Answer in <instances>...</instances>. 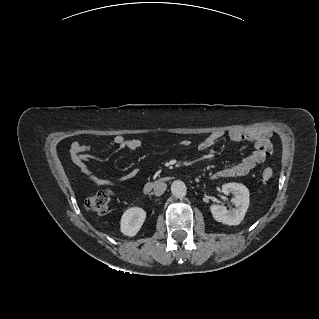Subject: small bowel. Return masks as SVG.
I'll return each instance as SVG.
<instances>
[{
	"label": "small bowel",
	"mask_w": 319,
	"mask_h": 319,
	"mask_svg": "<svg viewBox=\"0 0 319 319\" xmlns=\"http://www.w3.org/2000/svg\"><path fill=\"white\" fill-rule=\"evenodd\" d=\"M270 133L268 131L262 133H247L241 130H231L228 133L230 140L251 141L254 143V150L241 161L233 164L232 166L221 168L211 174V179H221L228 177H239L247 175L257 165L263 163L268 153L265 150V144L269 142ZM223 138L222 132H213L204 138L197 146L198 150L202 153L208 152L214 145ZM188 140H182V146H188ZM142 141L138 139H126L123 136H115L108 148L111 151L130 150L136 151L142 147ZM72 160L73 162L89 177V179L98 186H112L122 184L135 178L136 171L128 172L121 176H114L111 178L100 177L92 172L87 166V161L93 148L90 146L82 145L80 143L72 144Z\"/></svg>",
	"instance_id": "small-bowel-1"
}]
</instances>
